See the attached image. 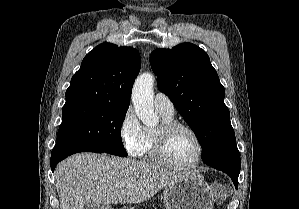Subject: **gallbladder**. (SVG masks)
<instances>
[{"label":"gallbladder","instance_id":"1","mask_svg":"<svg viewBox=\"0 0 299 209\" xmlns=\"http://www.w3.org/2000/svg\"><path fill=\"white\" fill-rule=\"evenodd\" d=\"M84 209H100V204L91 200L84 205Z\"/></svg>","mask_w":299,"mask_h":209}]
</instances>
